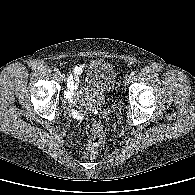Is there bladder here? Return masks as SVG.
I'll return each instance as SVG.
<instances>
[{"instance_id":"obj_1","label":"bladder","mask_w":195,"mask_h":195,"mask_svg":"<svg viewBox=\"0 0 195 195\" xmlns=\"http://www.w3.org/2000/svg\"><path fill=\"white\" fill-rule=\"evenodd\" d=\"M92 71L86 81L88 97L101 96L113 92L118 85V74L114 66L108 62H93Z\"/></svg>"}]
</instances>
